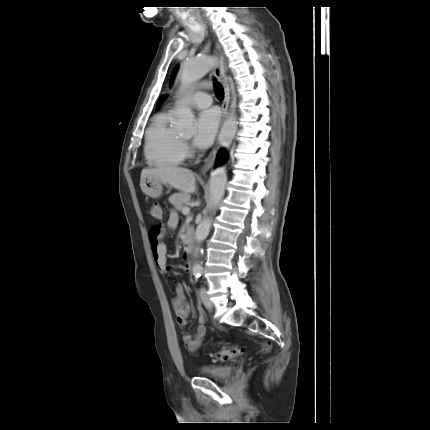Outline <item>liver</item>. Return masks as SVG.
I'll return each mask as SVG.
<instances>
[{
	"label": "liver",
	"mask_w": 430,
	"mask_h": 430,
	"mask_svg": "<svg viewBox=\"0 0 430 430\" xmlns=\"http://www.w3.org/2000/svg\"><path fill=\"white\" fill-rule=\"evenodd\" d=\"M146 177L157 178L163 183L186 194L196 192L194 173L186 168L167 165L157 168L143 169L141 172V180Z\"/></svg>",
	"instance_id": "6515ba94"
}]
</instances>
